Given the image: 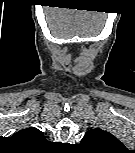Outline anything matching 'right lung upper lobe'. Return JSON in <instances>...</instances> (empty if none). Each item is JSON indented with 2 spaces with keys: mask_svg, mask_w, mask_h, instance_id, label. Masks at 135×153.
Segmentation results:
<instances>
[{
  "mask_svg": "<svg viewBox=\"0 0 135 153\" xmlns=\"http://www.w3.org/2000/svg\"><path fill=\"white\" fill-rule=\"evenodd\" d=\"M16 136L31 142H39L45 140L42 132L34 127L20 130L17 132Z\"/></svg>",
  "mask_w": 135,
  "mask_h": 153,
  "instance_id": "cb5924a9",
  "label": "right lung upper lobe"
}]
</instances>
